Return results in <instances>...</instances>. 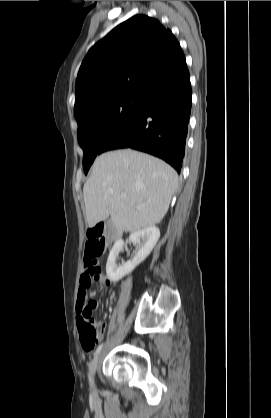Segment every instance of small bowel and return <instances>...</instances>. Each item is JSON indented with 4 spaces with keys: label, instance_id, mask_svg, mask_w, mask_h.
I'll list each match as a JSON object with an SVG mask.
<instances>
[{
    "label": "small bowel",
    "instance_id": "obj_1",
    "mask_svg": "<svg viewBox=\"0 0 271 418\" xmlns=\"http://www.w3.org/2000/svg\"><path fill=\"white\" fill-rule=\"evenodd\" d=\"M88 262L85 260L84 268L80 277V290L78 293V303H77V311H78V319L79 315L81 314H94L95 309L97 308V302L95 299H86L85 302L82 299V294L85 292V290L89 287V285L85 284V278L88 276ZM99 283V290L103 289V286L106 284H109L108 279L104 275H100L95 280ZM96 292H92L91 296H95ZM110 298H113V294L110 295ZM84 303V305H82Z\"/></svg>",
    "mask_w": 271,
    "mask_h": 418
}]
</instances>
